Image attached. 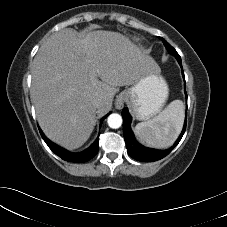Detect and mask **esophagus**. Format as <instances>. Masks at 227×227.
<instances>
[{"mask_svg": "<svg viewBox=\"0 0 227 227\" xmlns=\"http://www.w3.org/2000/svg\"><path fill=\"white\" fill-rule=\"evenodd\" d=\"M128 96L126 93H120L116 100H115V108L120 110L124 107L125 103L127 102Z\"/></svg>", "mask_w": 227, "mask_h": 227, "instance_id": "34e87169", "label": "esophagus"}]
</instances>
